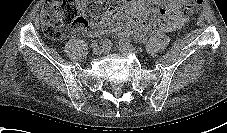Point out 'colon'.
I'll list each match as a JSON object with an SVG mask.
<instances>
[{"label":"colon","mask_w":227,"mask_h":133,"mask_svg":"<svg viewBox=\"0 0 227 133\" xmlns=\"http://www.w3.org/2000/svg\"><path fill=\"white\" fill-rule=\"evenodd\" d=\"M202 0H180L185 16L194 13ZM115 13L113 4L107 0H49L41 12L44 35L60 40L68 28L84 31L91 26H104Z\"/></svg>","instance_id":"5ec220e1"}]
</instances>
